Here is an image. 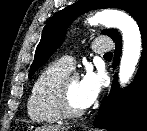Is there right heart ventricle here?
I'll list each match as a JSON object with an SVG mask.
<instances>
[{
	"label": "right heart ventricle",
	"instance_id": "e07e8e85",
	"mask_svg": "<svg viewBox=\"0 0 147 131\" xmlns=\"http://www.w3.org/2000/svg\"><path fill=\"white\" fill-rule=\"evenodd\" d=\"M69 72L58 61L48 64L37 75L27 101V114L33 122L51 124L62 119L54 103L53 91L59 79Z\"/></svg>",
	"mask_w": 147,
	"mask_h": 131
}]
</instances>
